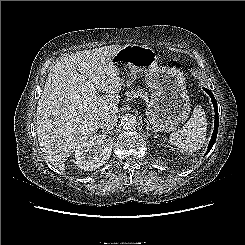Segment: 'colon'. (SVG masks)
<instances>
[{"label":"colon","mask_w":245,"mask_h":245,"mask_svg":"<svg viewBox=\"0 0 245 245\" xmlns=\"http://www.w3.org/2000/svg\"><path fill=\"white\" fill-rule=\"evenodd\" d=\"M176 66L180 67V64L176 63Z\"/></svg>","instance_id":"1"}]
</instances>
